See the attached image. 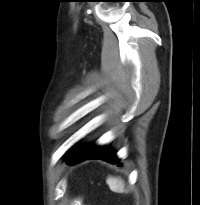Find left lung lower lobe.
I'll list each match as a JSON object with an SVG mask.
<instances>
[{
  "instance_id": "obj_1",
  "label": "left lung lower lobe",
  "mask_w": 200,
  "mask_h": 205,
  "mask_svg": "<svg viewBox=\"0 0 200 205\" xmlns=\"http://www.w3.org/2000/svg\"><path fill=\"white\" fill-rule=\"evenodd\" d=\"M66 159V164L68 165H73L89 159H102L113 164L119 163V160L112 150L94 145L78 148L68 155Z\"/></svg>"
}]
</instances>
